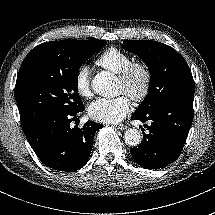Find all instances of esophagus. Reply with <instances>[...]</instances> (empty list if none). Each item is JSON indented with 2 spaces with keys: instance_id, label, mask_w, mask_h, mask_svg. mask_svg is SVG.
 <instances>
[{
  "instance_id": "1",
  "label": "esophagus",
  "mask_w": 215,
  "mask_h": 215,
  "mask_svg": "<svg viewBox=\"0 0 215 215\" xmlns=\"http://www.w3.org/2000/svg\"><path fill=\"white\" fill-rule=\"evenodd\" d=\"M116 128H117L118 130L123 131V130L127 129V126H125V125H116Z\"/></svg>"
}]
</instances>
